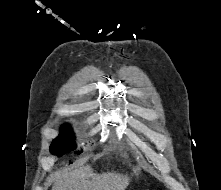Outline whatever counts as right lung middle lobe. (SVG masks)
Masks as SVG:
<instances>
[{
    "mask_svg": "<svg viewBox=\"0 0 221 190\" xmlns=\"http://www.w3.org/2000/svg\"><path fill=\"white\" fill-rule=\"evenodd\" d=\"M75 137L71 128L62 126L60 135L52 142L50 152L54 155H61L75 149ZM79 154V153H78Z\"/></svg>",
    "mask_w": 221,
    "mask_h": 190,
    "instance_id": "right-lung-middle-lobe-1",
    "label": "right lung middle lobe"
}]
</instances>
